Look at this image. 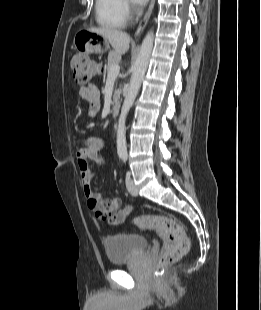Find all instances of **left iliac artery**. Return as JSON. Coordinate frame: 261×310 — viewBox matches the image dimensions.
<instances>
[{
    "mask_svg": "<svg viewBox=\"0 0 261 310\" xmlns=\"http://www.w3.org/2000/svg\"><path fill=\"white\" fill-rule=\"evenodd\" d=\"M123 160L126 161L127 160V156H123Z\"/></svg>",
    "mask_w": 261,
    "mask_h": 310,
    "instance_id": "44dca946",
    "label": "left iliac artery"
}]
</instances>
